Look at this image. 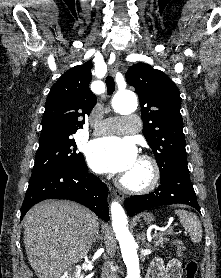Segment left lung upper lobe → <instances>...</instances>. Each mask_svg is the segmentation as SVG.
Here are the masks:
<instances>
[{
  "label": "left lung upper lobe",
  "mask_w": 221,
  "mask_h": 278,
  "mask_svg": "<svg viewBox=\"0 0 221 278\" xmlns=\"http://www.w3.org/2000/svg\"><path fill=\"white\" fill-rule=\"evenodd\" d=\"M126 81L139 96L143 135L156 158L160 177L187 165L178 87L162 71L145 63L131 66Z\"/></svg>",
  "instance_id": "obj_1"
}]
</instances>
